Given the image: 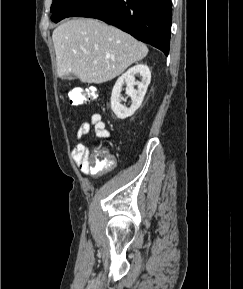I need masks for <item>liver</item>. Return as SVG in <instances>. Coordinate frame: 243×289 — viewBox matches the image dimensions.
<instances>
[{"mask_svg":"<svg viewBox=\"0 0 243 289\" xmlns=\"http://www.w3.org/2000/svg\"><path fill=\"white\" fill-rule=\"evenodd\" d=\"M52 39L58 76L72 73L83 83L110 81L148 53L144 43L97 19L69 20L53 31Z\"/></svg>","mask_w":243,"mask_h":289,"instance_id":"1","label":"liver"}]
</instances>
